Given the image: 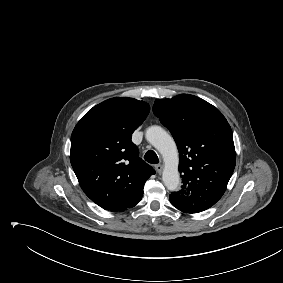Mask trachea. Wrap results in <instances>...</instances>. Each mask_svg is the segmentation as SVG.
<instances>
[{"label": "trachea", "mask_w": 283, "mask_h": 283, "mask_svg": "<svg viewBox=\"0 0 283 283\" xmlns=\"http://www.w3.org/2000/svg\"><path fill=\"white\" fill-rule=\"evenodd\" d=\"M144 159L150 164H157L159 163V159L157 154L153 150H149L144 155Z\"/></svg>", "instance_id": "obj_1"}]
</instances>
